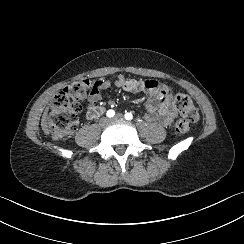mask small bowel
<instances>
[{
    "mask_svg": "<svg viewBox=\"0 0 244 244\" xmlns=\"http://www.w3.org/2000/svg\"><path fill=\"white\" fill-rule=\"evenodd\" d=\"M115 85L119 89L131 93L146 94V112L144 118L150 123H158L168 127L176 117V109L170 87L156 80H140L118 75L114 80H98L94 83L87 99L86 116L92 119L102 99V92Z\"/></svg>",
    "mask_w": 244,
    "mask_h": 244,
    "instance_id": "1",
    "label": "small bowel"
}]
</instances>
